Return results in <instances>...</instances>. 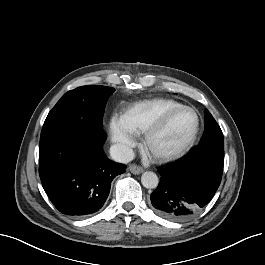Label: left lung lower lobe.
I'll list each match as a JSON object with an SVG mask.
<instances>
[{"mask_svg": "<svg viewBox=\"0 0 265 265\" xmlns=\"http://www.w3.org/2000/svg\"><path fill=\"white\" fill-rule=\"evenodd\" d=\"M223 165L224 146L195 148L179 164L159 170L160 183L151 194L153 207L169 220L182 221L197 215L217 191Z\"/></svg>", "mask_w": 265, "mask_h": 265, "instance_id": "1", "label": "left lung lower lobe"}]
</instances>
